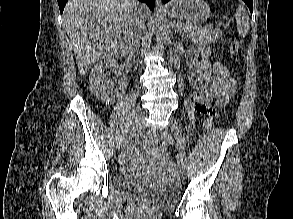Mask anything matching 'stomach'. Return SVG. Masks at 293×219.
Listing matches in <instances>:
<instances>
[{"label": "stomach", "instance_id": "stomach-1", "mask_svg": "<svg viewBox=\"0 0 293 219\" xmlns=\"http://www.w3.org/2000/svg\"><path fill=\"white\" fill-rule=\"evenodd\" d=\"M170 16L184 19L194 25L202 24L210 17V7L204 0H176L167 7Z\"/></svg>", "mask_w": 293, "mask_h": 219}]
</instances>
